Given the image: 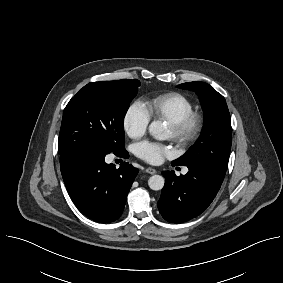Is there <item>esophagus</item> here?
Here are the masks:
<instances>
[{"mask_svg":"<svg viewBox=\"0 0 283 283\" xmlns=\"http://www.w3.org/2000/svg\"><path fill=\"white\" fill-rule=\"evenodd\" d=\"M145 171L149 174H152V175L157 173L156 169L151 168V167L146 168Z\"/></svg>","mask_w":283,"mask_h":283,"instance_id":"1","label":"esophagus"}]
</instances>
